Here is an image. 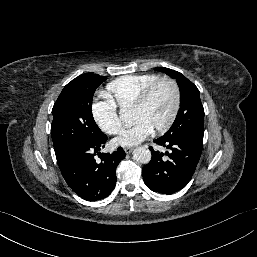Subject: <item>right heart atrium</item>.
I'll list each match as a JSON object with an SVG mask.
<instances>
[{
  "label": "right heart atrium",
  "instance_id": "obj_1",
  "mask_svg": "<svg viewBox=\"0 0 257 257\" xmlns=\"http://www.w3.org/2000/svg\"><path fill=\"white\" fill-rule=\"evenodd\" d=\"M108 102L111 106V109L114 110L116 106L113 103H111L110 101H108ZM92 113H93L92 115H93L94 121L96 122L99 129L101 131H103L104 133L113 135L119 131L120 123H119V119L117 118L115 113L112 114V119L109 123L103 122L98 118L96 111H95V107H93Z\"/></svg>",
  "mask_w": 257,
  "mask_h": 257
}]
</instances>
